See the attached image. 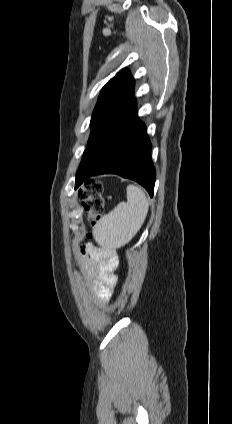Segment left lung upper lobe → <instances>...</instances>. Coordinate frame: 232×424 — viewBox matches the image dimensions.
Listing matches in <instances>:
<instances>
[{"instance_id":"obj_1","label":"left lung upper lobe","mask_w":232,"mask_h":424,"mask_svg":"<svg viewBox=\"0 0 232 424\" xmlns=\"http://www.w3.org/2000/svg\"><path fill=\"white\" fill-rule=\"evenodd\" d=\"M133 89V79L128 70L120 71L104 86L92 115L88 149L102 129L130 103ZM88 149L83 154L79 169L85 163Z\"/></svg>"}]
</instances>
